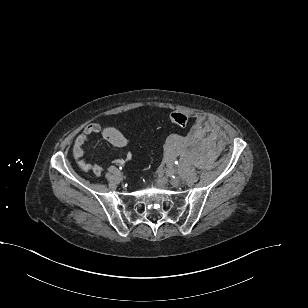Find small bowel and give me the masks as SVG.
<instances>
[{
	"instance_id": "obj_1",
	"label": "small bowel",
	"mask_w": 308,
	"mask_h": 308,
	"mask_svg": "<svg viewBox=\"0 0 308 308\" xmlns=\"http://www.w3.org/2000/svg\"><path fill=\"white\" fill-rule=\"evenodd\" d=\"M93 135L101 136L105 141L118 148L127 146L128 139L118 129L110 126L105 127L98 123H91L87 125L83 131L77 135L74 140L72 150L75 160L83 171L91 172L96 176H100L103 172L102 166L100 164H90L85 160L84 145ZM131 157L132 155L127 153L124 158L116 159L115 163L122 166L127 163Z\"/></svg>"
}]
</instances>
